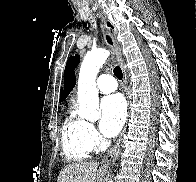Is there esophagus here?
I'll return each mask as SVG.
<instances>
[{
  "label": "esophagus",
  "mask_w": 196,
  "mask_h": 182,
  "mask_svg": "<svg viewBox=\"0 0 196 182\" xmlns=\"http://www.w3.org/2000/svg\"><path fill=\"white\" fill-rule=\"evenodd\" d=\"M99 18L102 20V31H103V35H104V39L107 43V45L111 48L117 62L119 63L122 72H123V81H124V87H125V91L127 93V97H128V81H127V73H126V68L124 65V61L122 59V55H121V51H120V47L118 45V43L115 40V37L113 35V33L107 28V26L104 23V18L101 16V14L99 13ZM129 102V100H128ZM126 130V125L123 128V131L121 133V137L119 138V140L117 141V143L115 144V146H113L111 148V150L108 152V154L103 158L102 160V164L103 165H108L111 162H113L115 160V158L118 156L119 151H120V143H121V139L122 136L124 134Z\"/></svg>",
  "instance_id": "esophagus-1"
}]
</instances>
